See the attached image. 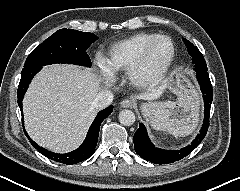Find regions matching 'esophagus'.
<instances>
[{
    "label": "esophagus",
    "mask_w": 240,
    "mask_h": 191,
    "mask_svg": "<svg viewBox=\"0 0 240 191\" xmlns=\"http://www.w3.org/2000/svg\"><path fill=\"white\" fill-rule=\"evenodd\" d=\"M120 105L123 108H131L135 105V101L131 99H124L123 101H121Z\"/></svg>",
    "instance_id": "esophagus-1"
}]
</instances>
